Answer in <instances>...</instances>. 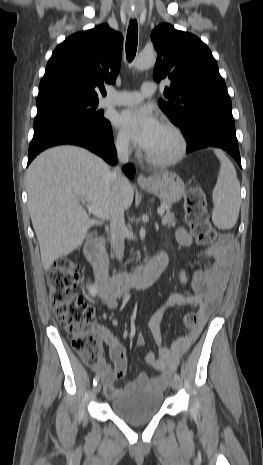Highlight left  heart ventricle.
I'll use <instances>...</instances> for the list:
<instances>
[{
    "label": "left heart ventricle",
    "instance_id": "left-heart-ventricle-1",
    "mask_svg": "<svg viewBox=\"0 0 263 465\" xmlns=\"http://www.w3.org/2000/svg\"><path fill=\"white\" fill-rule=\"evenodd\" d=\"M176 149V138L169 130L163 127L148 154L156 158H166L173 155Z\"/></svg>",
    "mask_w": 263,
    "mask_h": 465
}]
</instances>
